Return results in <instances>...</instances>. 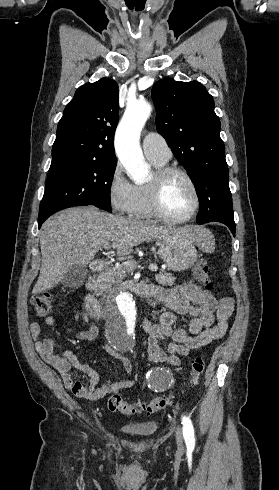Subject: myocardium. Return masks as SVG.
<instances>
[{"label":"myocardium","mask_w":279,"mask_h":490,"mask_svg":"<svg viewBox=\"0 0 279 490\" xmlns=\"http://www.w3.org/2000/svg\"><path fill=\"white\" fill-rule=\"evenodd\" d=\"M172 175H180L184 177L191 185L194 192L193 208L188 215L182 218H175L170 216L165 211L162 203V196H163L165 184L168 178ZM149 185H150V205H151L152 212L156 217L160 218L161 220L169 223L180 224L189 221L198 212L201 204L200 190L194 178L184 168L176 165H167V166L159 167L156 170L155 175Z\"/></svg>","instance_id":"1"}]
</instances>
